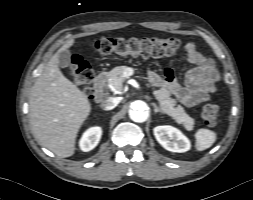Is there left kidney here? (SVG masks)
Here are the masks:
<instances>
[{
    "instance_id": "1",
    "label": "left kidney",
    "mask_w": 253,
    "mask_h": 200,
    "mask_svg": "<svg viewBox=\"0 0 253 200\" xmlns=\"http://www.w3.org/2000/svg\"><path fill=\"white\" fill-rule=\"evenodd\" d=\"M153 132L159 144L168 151L182 153L191 148L189 139L179 129L173 126H157Z\"/></svg>"
}]
</instances>
